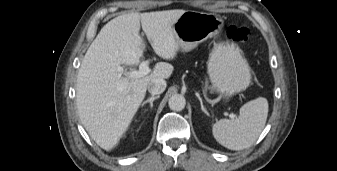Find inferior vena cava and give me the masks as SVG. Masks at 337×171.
I'll use <instances>...</instances> for the list:
<instances>
[{
    "instance_id": "inferior-vena-cava-1",
    "label": "inferior vena cava",
    "mask_w": 337,
    "mask_h": 171,
    "mask_svg": "<svg viewBox=\"0 0 337 171\" xmlns=\"http://www.w3.org/2000/svg\"><path fill=\"white\" fill-rule=\"evenodd\" d=\"M147 88L152 95L161 94L166 89V81L162 78H155L148 83Z\"/></svg>"
}]
</instances>
